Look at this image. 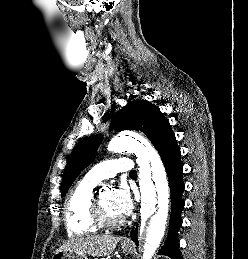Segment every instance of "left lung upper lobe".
I'll list each match as a JSON object with an SVG mask.
<instances>
[{
	"mask_svg": "<svg viewBox=\"0 0 248 259\" xmlns=\"http://www.w3.org/2000/svg\"><path fill=\"white\" fill-rule=\"evenodd\" d=\"M111 127L118 130H140L147 135L157 151L176 140L168 120L156 105L146 100L129 101L114 115ZM101 140V135H94L82 139L76 145L63 174L62 196H65L79 173L94 160Z\"/></svg>",
	"mask_w": 248,
	"mask_h": 259,
	"instance_id": "obj_1",
	"label": "left lung upper lobe"
}]
</instances>
